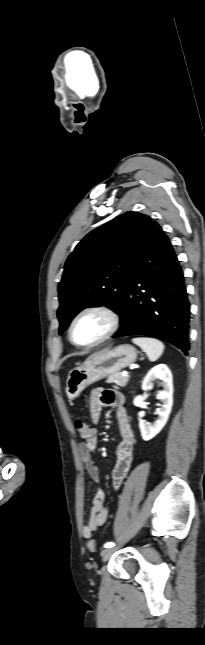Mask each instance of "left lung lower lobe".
<instances>
[{"instance_id": "obj_1", "label": "left lung lower lobe", "mask_w": 205, "mask_h": 645, "mask_svg": "<svg viewBox=\"0 0 205 645\" xmlns=\"http://www.w3.org/2000/svg\"><path fill=\"white\" fill-rule=\"evenodd\" d=\"M129 272L121 328L113 338L146 335L169 342L188 355L190 304L183 271L157 222L149 224Z\"/></svg>"}]
</instances>
